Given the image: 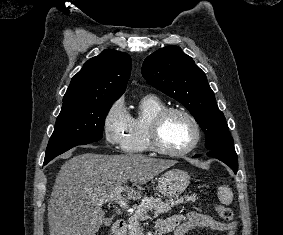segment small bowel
<instances>
[{"instance_id":"c3829d8e","label":"small bowel","mask_w":283,"mask_h":235,"mask_svg":"<svg viewBox=\"0 0 283 235\" xmlns=\"http://www.w3.org/2000/svg\"><path fill=\"white\" fill-rule=\"evenodd\" d=\"M196 229H207L224 232L225 235H233L234 223H224L215 220L203 213L191 212L186 215H173L166 220L158 221L156 231L159 235L172 233L173 235H187Z\"/></svg>"}]
</instances>
